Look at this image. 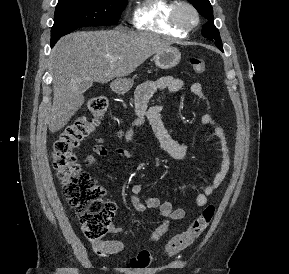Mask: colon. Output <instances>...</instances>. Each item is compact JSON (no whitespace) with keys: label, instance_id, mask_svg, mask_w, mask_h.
<instances>
[{"label":"colon","instance_id":"colon-1","mask_svg":"<svg viewBox=\"0 0 289 274\" xmlns=\"http://www.w3.org/2000/svg\"><path fill=\"white\" fill-rule=\"evenodd\" d=\"M195 74L205 71L202 58L190 60ZM91 117H77L59 135L53 145V167L61 181L63 194L69 205L77 212L85 236L93 242L103 240L111 229L115 204L104 198L105 190L86 172L82 171L74 149L89 136L106 113L108 103L103 96L88 100ZM215 206L208 205L184 232L174 236L166 245V253L173 256L191 245L210 225L215 216ZM152 260L149 251H140L130 261L133 268H145Z\"/></svg>","mask_w":289,"mask_h":274}]
</instances>
